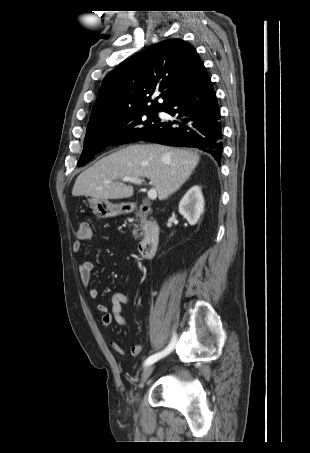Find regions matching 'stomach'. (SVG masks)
Segmentation results:
<instances>
[{
  "instance_id": "stomach-1",
  "label": "stomach",
  "mask_w": 310,
  "mask_h": 453,
  "mask_svg": "<svg viewBox=\"0 0 310 453\" xmlns=\"http://www.w3.org/2000/svg\"><path fill=\"white\" fill-rule=\"evenodd\" d=\"M88 204L98 218H111L124 212L123 204H113L105 199L91 197Z\"/></svg>"
}]
</instances>
